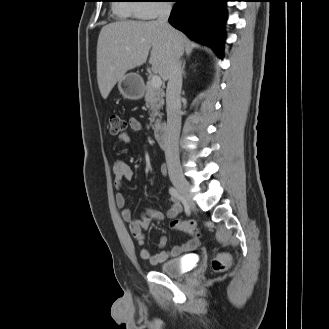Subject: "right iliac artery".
Here are the masks:
<instances>
[{
  "label": "right iliac artery",
  "instance_id": "82829eb1",
  "mask_svg": "<svg viewBox=\"0 0 329 329\" xmlns=\"http://www.w3.org/2000/svg\"><path fill=\"white\" fill-rule=\"evenodd\" d=\"M169 193H170L173 197H175V198H177V199H179V200L182 199L181 194H180L179 191H178L176 188H174V187H170V188H169Z\"/></svg>",
  "mask_w": 329,
  "mask_h": 329
}]
</instances>
